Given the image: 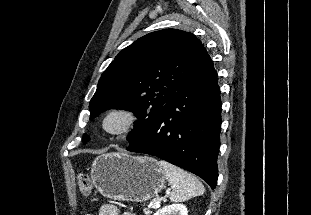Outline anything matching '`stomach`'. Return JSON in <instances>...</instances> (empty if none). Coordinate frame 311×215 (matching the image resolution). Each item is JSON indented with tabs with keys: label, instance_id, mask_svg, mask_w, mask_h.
Here are the masks:
<instances>
[{
	"label": "stomach",
	"instance_id": "stomach-1",
	"mask_svg": "<svg viewBox=\"0 0 311 215\" xmlns=\"http://www.w3.org/2000/svg\"><path fill=\"white\" fill-rule=\"evenodd\" d=\"M91 178L104 197L132 202L152 199L164 188L166 180L154 158L119 152L98 156L92 165Z\"/></svg>",
	"mask_w": 311,
	"mask_h": 215
}]
</instances>
